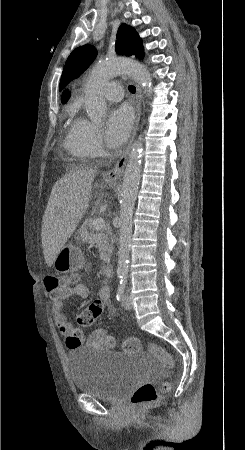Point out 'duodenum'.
Masks as SVG:
<instances>
[{"mask_svg":"<svg viewBox=\"0 0 245 450\" xmlns=\"http://www.w3.org/2000/svg\"><path fill=\"white\" fill-rule=\"evenodd\" d=\"M103 274L107 276H112L114 273V266L112 262L106 263L102 268Z\"/></svg>","mask_w":245,"mask_h":450,"instance_id":"410a0bca","label":"duodenum"}]
</instances>
